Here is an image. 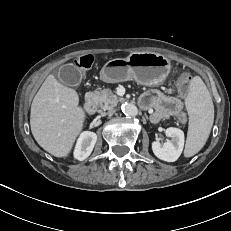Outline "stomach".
Returning <instances> with one entry per match:
<instances>
[{"label": "stomach", "mask_w": 231, "mask_h": 231, "mask_svg": "<svg viewBox=\"0 0 231 231\" xmlns=\"http://www.w3.org/2000/svg\"><path fill=\"white\" fill-rule=\"evenodd\" d=\"M170 68L169 59L162 54L135 52L127 58L109 60L101 69L100 77L107 83L135 80L139 84L152 86L163 82Z\"/></svg>", "instance_id": "stomach-1"}]
</instances>
